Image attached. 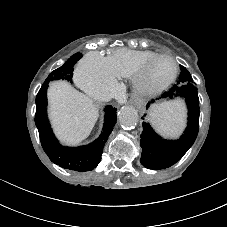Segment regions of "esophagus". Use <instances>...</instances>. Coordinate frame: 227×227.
I'll return each mask as SVG.
<instances>
[{"mask_svg":"<svg viewBox=\"0 0 227 227\" xmlns=\"http://www.w3.org/2000/svg\"><path fill=\"white\" fill-rule=\"evenodd\" d=\"M136 107L139 113H144L146 111L147 104L145 101L140 100L137 102Z\"/></svg>","mask_w":227,"mask_h":227,"instance_id":"34e87169","label":"esophagus"}]
</instances>
